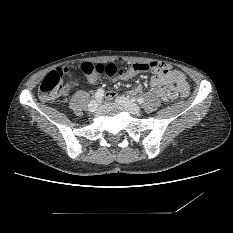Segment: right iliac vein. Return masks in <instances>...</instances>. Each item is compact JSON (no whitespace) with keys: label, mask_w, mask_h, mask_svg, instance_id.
Wrapping results in <instances>:
<instances>
[{"label":"right iliac vein","mask_w":233,"mask_h":233,"mask_svg":"<svg viewBox=\"0 0 233 233\" xmlns=\"http://www.w3.org/2000/svg\"><path fill=\"white\" fill-rule=\"evenodd\" d=\"M98 108V102L96 100H92L89 104H88V110L90 112H94L96 111Z\"/></svg>","instance_id":"63e3f726"}]
</instances>
